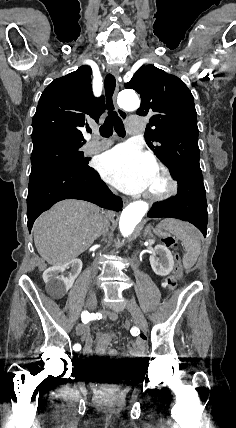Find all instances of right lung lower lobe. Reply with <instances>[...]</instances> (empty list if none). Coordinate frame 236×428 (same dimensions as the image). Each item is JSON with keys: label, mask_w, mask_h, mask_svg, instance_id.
<instances>
[{"label": "right lung lower lobe", "mask_w": 236, "mask_h": 428, "mask_svg": "<svg viewBox=\"0 0 236 428\" xmlns=\"http://www.w3.org/2000/svg\"><path fill=\"white\" fill-rule=\"evenodd\" d=\"M81 199L100 207L121 211L122 200L115 196L91 167L57 168L30 176L27 197L28 229L35 219L54 203Z\"/></svg>", "instance_id": "right-lung-lower-lobe-1"}]
</instances>
